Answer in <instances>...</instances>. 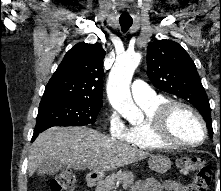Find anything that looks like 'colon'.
<instances>
[{"instance_id":"obj_1","label":"colon","mask_w":221,"mask_h":191,"mask_svg":"<svg viewBox=\"0 0 221 191\" xmlns=\"http://www.w3.org/2000/svg\"><path fill=\"white\" fill-rule=\"evenodd\" d=\"M177 165L183 175H193V180L185 186V191H207L211 182L212 171L200 158L182 157L178 160ZM75 183V175L64 170L51 178L50 189L51 191H73Z\"/></svg>"}]
</instances>
